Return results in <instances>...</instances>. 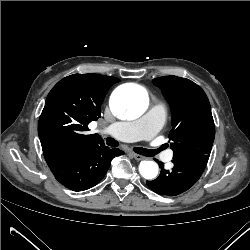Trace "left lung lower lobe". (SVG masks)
Returning a JSON list of instances; mask_svg holds the SVG:
<instances>
[{
	"label": "left lung lower lobe",
	"mask_w": 250,
	"mask_h": 250,
	"mask_svg": "<svg viewBox=\"0 0 250 250\" xmlns=\"http://www.w3.org/2000/svg\"><path fill=\"white\" fill-rule=\"evenodd\" d=\"M209 159L208 155H190L173 158L172 170H165L159 162L161 173L157 179L147 181L148 187L160 195L175 196L192 187L200 178Z\"/></svg>",
	"instance_id": "left-lung-lower-lobe-1"
}]
</instances>
